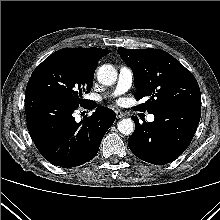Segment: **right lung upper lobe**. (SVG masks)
Instances as JSON below:
<instances>
[{
	"label": "right lung upper lobe",
	"instance_id": "right-lung-upper-lobe-1",
	"mask_svg": "<svg viewBox=\"0 0 220 220\" xmlns=\"http://www.w3.org/2000/svg\"><path fill=\"white\" fill-rule=\"evenodd\" d=\"M58 52L70 54L80 61H82L87 66L96 69L98 61L105 55H107L110 50L100 49V48H64Z\"/></svg>",
	"mask_w": 220,
	"mask_h": 220
}]
</instances>
